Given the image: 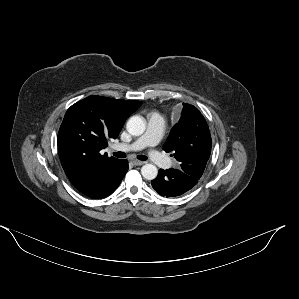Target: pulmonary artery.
Masks as SVG:
<instances>
[{
  "mask_svg": "<svg viewBox=\"0 0 299 299\" xmlns=\"http://www.w3.org/2000/svg\"><path fill=\"white\" fill-rule=\"evenodd\" d=\"M164 127L165 119L158 113H152L148 117L147 129L142 136L129 144H115L113 148L124 152L148 149L147 156L153 163L162 167H168L170 166V160L153 148L161 140Z\"/></svg>",
  "mask_w": 299,
  "mask_h": 299,
  "instance_id": "e3ab8cb5",
  "label": "pulmonary artery"
}]
</instances>
